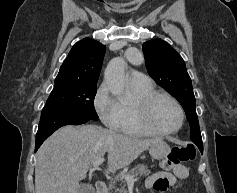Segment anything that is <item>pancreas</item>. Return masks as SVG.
Returning a JSON list of instances; mask_svg holds the SVG:
<instances>
[{"label": "pancreas", "instance_id": "1", "mask_svg": "<svg viewBox=\"0 0 237 193\" xmlns=\"http://www.w3.org/2000/svg\"><path fill=\"white\" fill-rule=\"evenodd\" d=\"M127 174L132 175L133 177L146 176L150 174V170L147 166L139 164L135 168L131 169ZM109 190L111 191L110 193H126L125 181H122L119 187L116 186L115 182H111V184H109Z\"/></svg>", "mask_w": 237, "mask_h": 193}]
</instances>
